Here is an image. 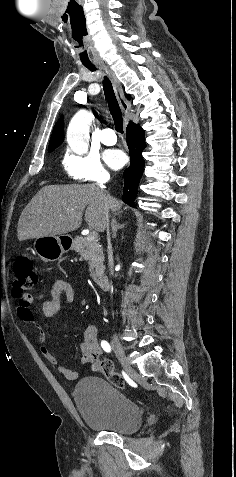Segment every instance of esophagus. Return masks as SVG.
<instances>
[{
    "label": "esophagus",
    "mask_w": 236,
    "mask_h": 477,
    "mask_svg": "<svg viewBox=\"0 0 236 477\" xmlns=\"http://www.w3.org/2000/svg\"><path fill=\"white\" fill-rule=\"evenodd\" d=\"M100 67L102 69H104L106 71V73L108 74V76L110 77L113 85H114V88H115V92H116V95L118 97V100H119V103L121 105V108L126 116V120L127 119V114L130 112V104L128 103V101L126 100V98L124 97L123 93H122V88L119 84V81L117 80L116 76L112 73L111 70H109L105 65H100Z\"/></svg>",
    "instance_id": "1"
}]
</instances>
